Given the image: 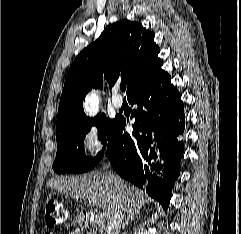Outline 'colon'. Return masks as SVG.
Returning <instances> with one entry per match:
<instances>
[{
    "label": "colon",
    "mask_w": 241,
    "mask_h": 234,
    "mask_svg": "<svg viewBox=\"0 0 241 234\" xmlns=\"http://www.w3.org/2000/svg\"><path fill=\"white\" fill-rule=\"evenodd\" d=\"M67 217L65 207L54 197L48 199L45 209V223L48 228L62 224Z\"/></svg>",
    "instance_id": "colon-1"
}]
</instances>
